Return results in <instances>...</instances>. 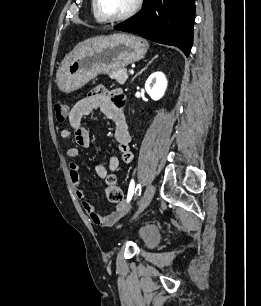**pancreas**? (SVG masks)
<instances>
[{"instance_id":"pancreas-1","label":"pancreas","mask_w":261,"mask_h":306,"mask_svg":"<svg viewBox=\"0 0 261 306\" xmlns=\"http://www.w3.org/2000/svg\"><path fill=\"white\" fill-rule=\"evenodd\" d=\"M111 79H115L119 84H124L128 79V74L126 69H120L112 71L109 74Z\"/></svg>"}]
</instances>
